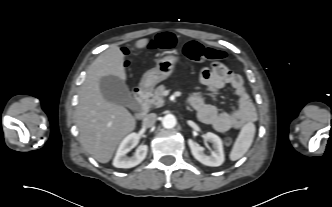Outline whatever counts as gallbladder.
<instances>
[{
	"instance_id": "obj_1",
	"label": "gallbladder",
	"mask_w": 332,
	"mask_h": 207,
	"mask_svg": "<svg viewBox=\"0 0 332 207\" xmlns=\"http://www.w3.org/2000/svg\"><path fill=\"white\" fill-rule=\"evenodd\" d=\"M99 88L106 101L136 111L138 109L126 83L120 78L109 75L99 81Z\"/></svg>"
}]
</instances>
